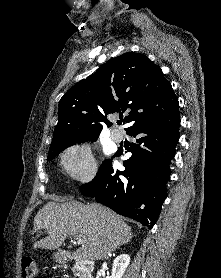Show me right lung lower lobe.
Masks as SVG:
<instances>
[{
    "instance_id": "obj_1",
    "label": "right lung lower lobe",
    "mask_w": 221,
    "mask_h": 278,
    "mask_svg": "<svg viewBox=\"0 0 221 278\" xmlns=\"http://www.w3.org/2000/svg\"><path fill=\"white\" fill-rule=\"evenodd\" d=\"M179 123L177 109L126 131L137 137V143L127 150L132 156L123 162L125 170L114 171L109 161L92 182L82 187L85 189L81 193L152 228L167 196L166 182L179 140ZM121 154L117 152L116 156Z\"/></svg>"
}]
</instances>
